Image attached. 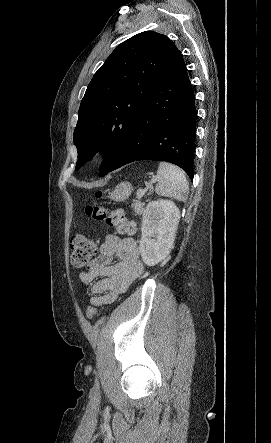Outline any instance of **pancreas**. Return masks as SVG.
Wrapping results in <instances>:
<instances>
[{
	"mask_svg": "<svg viewBox=\"0 0 271 443\" xmlns=\"http://www.w3.org/2000/svg\"><path fill=\"white\" fill-rule=\"evenodd\" d=\"M133 208L135 210V216H141L144 212L143 204H140L138 200H134Z\"/></svg>",
	"mask_w": 271,
	"mask_h": 443,
	"instance_id": "1",
	"label": "pancreas"
}]
</instances>
